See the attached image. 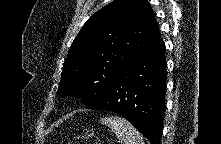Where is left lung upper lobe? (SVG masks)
I'll return each instance as SVG.
<instances>
[{"label": "left lung upper lobe", "instance_id": "1", "mask_svg": "<svg viewBox=\"0 0 221 144\" xmlns=\"http://www.w3.org/2000/svg\"><path fill=\"white\" fill-rule=\"evenodd\" d=\"M157 32L154 11L146 0H115L106 5L74 39L57 94L81 96L90 108Z\"/></svg>", "mask_w": 221, "mask_h": 144}]
</instances>
